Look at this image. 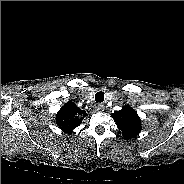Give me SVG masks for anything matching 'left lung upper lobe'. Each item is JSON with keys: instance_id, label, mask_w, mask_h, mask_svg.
I'll list each match as a JSON object with an SVG mask.
<instances>
[{"instance_id": "left-lung-upper-lobe-1", "label": "left lung upper lobe", "mask_w": 184, "mask_h": 184, "mask_svg": "<svg viewBox=\"0 0 184 184\" xmlns=\"http://www.w3.org/2000/svg\"><path fill=\"white\" fill-rule=\"evenodd\" d=\"M111 116L125 139L133 138L141 131V120L132 107L126 105L121 110L115 111Z\"/></svg>"}]
</instances>
